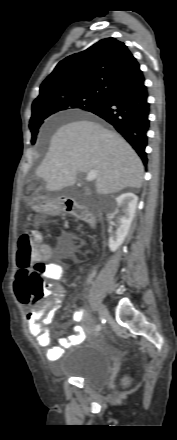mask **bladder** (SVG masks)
<instances>
[{
	"mask_svg": "<svg viewBox=\"0 0 177 440\" xmlns=\"http://www.w3.org/2000/svg\"><path fill=\"white\" fill-rule=\"evenodd\" d=\"M63 375L77 377L92 388H100L111 373V359L100 352L92 340H83L62 370Z\"/></svg>",
	"mask_w": 177,
	"mask_h": 440,
	"instance_id": "obj_1",
	"label": "bladder"
}]
</instances>
